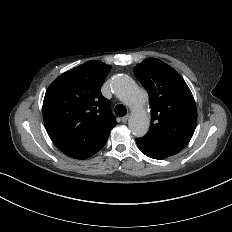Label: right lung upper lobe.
Returning a JSON list of instances; mask_svg holds the SVG:
<instances>
[{"label": "right lung upper lobe", "mask_w": 232, "mask_h": 232, "mask_svg": "<svg viewBox=\"0 0 232 232\" xmlns=\"http://www.w3.org/2000/svg\"><path fill=\"white\" fill-rule=\"evenodd\" d=\"M111 66L86 62L59 76L48 87L43 101L46 130L63 153L99 148L117 124L109 101L101 94Z\"/></svg>", "instance_id": "1"}]
</instances>
